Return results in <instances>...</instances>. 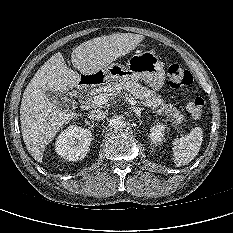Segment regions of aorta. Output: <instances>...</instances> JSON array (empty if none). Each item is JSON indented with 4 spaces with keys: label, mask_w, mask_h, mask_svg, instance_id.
Returning a JSON list of instances; mask_svg holds the SVG:
<instances>
[{
    "label": "aorta",
    "mask_w": 233,
    "mask_h": 233,
    "mask_svg": "<svg viewBox=\"0 0 233 233\" xmlns=\"http://www.w3.org/2000/svg\"><path fill=\"white\" fill-rule=\"evenodd\" d=\"M109 124L115 130H122L126 126V119L122 115H114L110 119Z\"/></svg>",
    "instance_id": "aorta-1"
}]
</instances>
